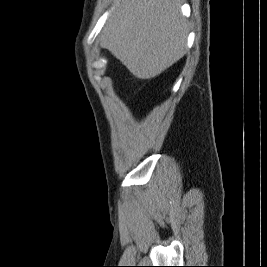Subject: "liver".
I'll list each match as a JSON object with an SVG mask.
<instances>
[{
    "label": "liver",
    "instance_id": "obj_1",
    "mask_svg": "<svg viewBox=\"0 0 267 267\" xmlns=\"http://www.w3.org/2000/svg\"><path fill=\"white\" fill-rule=\"evenodd\" d=\"M180 6V0H121L103 28L100 46L138 79L154 78L186 53L188 27Z\"/></svg>",
    "mask_w": 267,
    "mask_h": 267
}]
</instances>
